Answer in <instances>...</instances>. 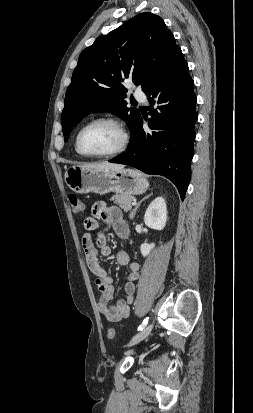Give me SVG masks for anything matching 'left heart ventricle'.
Returning a JSON list of instances; mask_svg holds the SVG:
<instances>
[{
    "mask_svg": "<svg viewBox=\"0 0 253 413\" xmlns=\"http://www.w3.org/2000/svg\"><path fill=\"white\" fill-rule=\"evenodd\" d=\"M121 142L119 131L108 123H97L84 130L81 148L89 154H101L115 150Z\"/></svg>",
    "mask_w": 253,
    "mask_h": 413,
    "instance_id": "obj_1",
    "label": "left heart ventricle"
}]
</instances>
